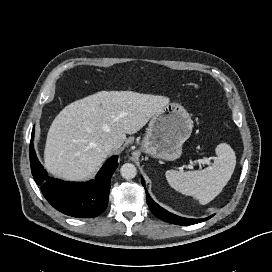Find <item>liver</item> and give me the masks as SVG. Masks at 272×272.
<instances>
[{
  "instance_id": "1",
  "label": "liver",
  "mask_w": 272,
  "mask_h": 272,
  "mask_svg": "<svg viewBox=\"0 0 272 272\" xmlns=\"http://www.w3.org/2000/svg\"><path fill=\"white\" fill-rule=\"evenodd\" d=\"M167 104L168 97L133 91H100L70 103L49 128L45 168L65 180L88 178L109 156V138L121 146Z\"/></svg>"
}]
</instances>
